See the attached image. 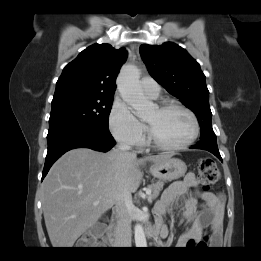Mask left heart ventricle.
Segmentation results:
<instances>
[{
  "mask_svg": "<svg viewBox=\"0 0 261 261\" xmlns=\"http://www.w3.org/2000/svg\"><path fill=\"white\" fill-rule=\"evenodd\" d=\"M144 121L149 125L155 138L163 144L176 145L186 141L193 130L190 117L179 109L150 110Z\"/></svg>",
  "mask_w": 261,
  "mask_h": 261,
  "instance_id": "left-heart-ventricle-1",
  "label": "left heart ventricle"
}]
</instances>
